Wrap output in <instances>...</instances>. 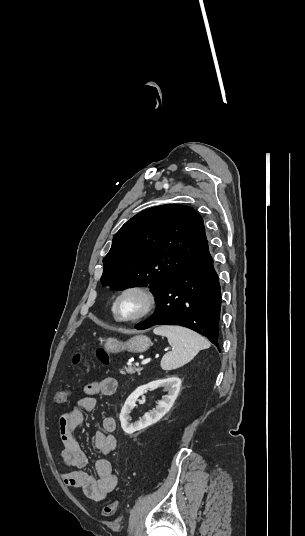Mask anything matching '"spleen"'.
<instances>
[{"instance_id": "obj_1", "label": "spleen", "mask_w": 305, "mask_h": 536, "mask_svg": "<svg viewBox=\"0 0 305 536\" xmlns=\"http://www.w3.org/2000/svg\"><path fill=\"white\" fill-rule=\"evenodd\" d=\"M153 332L157 336L168 338V342L173 348L172 352L164 354L161 360V368L166 372L185 366L197 356L200 350L210 348V342L206 338L199 336L193 330L181 328V326H158V328H154Z\"/></svg>"}]
</instances>
